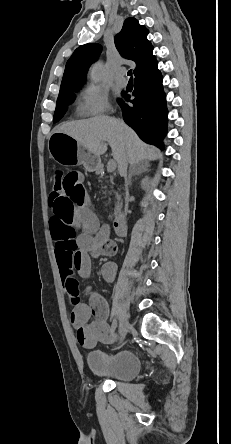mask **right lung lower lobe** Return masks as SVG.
Returning a JSON list of instances; mask_svg holds the SVG:
<instances>
[{
    "label": "right lung lower lobe",
    "instance_id": "right-lung-lower-lobe-1",
    "mask_svg": "<svg viewBox=\"0 0 231 444\" xmlns=\"http://www.w3.org/2000/svg\"><path fill=\"white\" fill-rule=\"evenodd\" d=\"M132 107L119 100L124 121L139 137L149 144L164 148L163 138L167 133L166 97L162 87V75L157 65L135 77ZM126 99L130 97L125 96Z\"/></svg>",
    "mask_w": 231,
    "mask_h": 444
}]
</instances>
